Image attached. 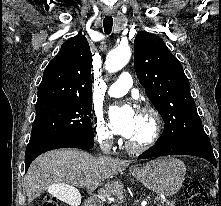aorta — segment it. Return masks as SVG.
<instances>
[{
  "label": "aorta",
  "mask_w": 221,
  "mask_h": 206,
  "mask_svg": "<svg viewBox=\"0 0 221 206\" xmlns=\"http://www.w3.org/2000/svg\"><path fill=\"white\" fill-rule=\"evenodd\" d=\"M130 57L131 48L128 45H119L108 53L105 69L110 73L117 72L128 63Z\"/></svg>",
  "instance_id": "762f6f07"
}]
</instances>
